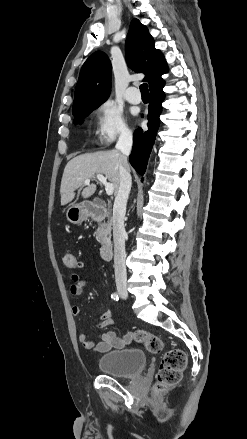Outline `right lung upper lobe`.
<instances>
[{
  "mask_svg": "<svg viewBox=\"0 0 247 439\" xmlns=\"http://www.w3.org/2000/svg\"><path fill=\"white\" fill-rule=\"evenodd\" d=\"M128 66L137 73H144L150 90L163 86L161 75L167 72L162 53L155 48L154 40L146 26L133 19L126 40ZM111 63L108 56L97 51L83 64L75 89L73 115L94 109L104 103L111 88Z\"/></svg>",
  "mask_w": 247,
  "mask_h": 439,
  "instance_id": "right-lung-upper-lobe-1",
  "label": "right lung upper lobe"
}]
</instances>
